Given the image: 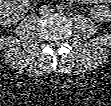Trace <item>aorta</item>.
<instances>
[{
	"label": "aorta",
	"instance_id": "obj_1",
	"mask_svg": "<svg viewBox=\"0 0 111 106\" xmlns=\"http://www.w3.org/2000/svg\"><path fill=\"white\" fill-rule=\"evenodd\" d=\"M62 9H63L62 6H60V5H57V6H56V10H57V11H61Z\"/></svg>",
	"mask_w": 111,
	"mask_h": 106
}]
</instances>
